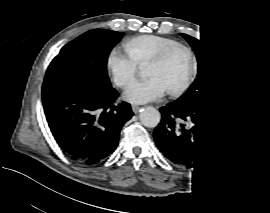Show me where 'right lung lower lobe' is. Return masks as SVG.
<instances>
[{
  "label": "right lung lower lobe",
  "instance_id": "98d812e1",
  "mask_svg": "<svg viewBox=\"0 0 270 213\" xmlns=\"http://www.w3.org/2000/svg\"><path fill=\"white\" fill-rule=\"evenodd\" d=\"M118 96L111 86L80 77L44 80L46 120L69 158L94 165L116 149L122 126L133 116L130 104H115Z\"/></svg>",
  "mask_w": 270,
  "mask_h": 213
}]
</instances>
